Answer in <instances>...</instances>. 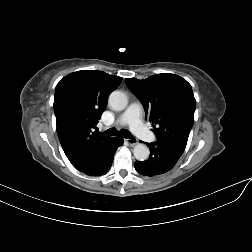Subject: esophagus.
Instances as JSON below:
<instances>
[{"label": "esophagus", "instance_id": "1", "mask_svg": "<svg viewBox=\"0 0 252 252\" xmlns=\"http://www.w3.org/2000/svg\"><path fill=\"white\" fill-rule=\"evenodd\" d=\"M126 142H127L130 146H134V145L137 144V140L134 139V138L126 139Z\"/></svg>", "mask_w": 252, "mask_h": 252}]
</instances>
